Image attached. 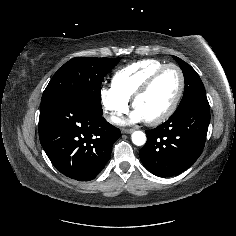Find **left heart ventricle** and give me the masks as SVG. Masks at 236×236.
I'll use <instances>...</instances> for the list:
<instances>
[{"label":"left heart ventricle","instance_id":"left-heart-ventricle-1","mask_svg":"<svg viewBox=\"0 0 236 236\" xmlns=\"http://www.w3.org/2000/svg\"><path fill=\"white\" fill-rule=\"evenodd\" d=\"M179 89V75L174 69L165 71L150 90L140 97L135 110L144 120H152L160 116L172 103Z\"/></svg>","mask_w":236,"mask_h":236}]
</instances>
